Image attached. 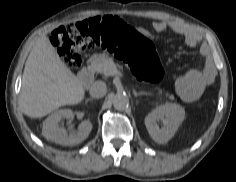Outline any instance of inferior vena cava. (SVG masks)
Segmentation results:
<instances>
[{
  "label": "inferior vena cava",
  "instance_id": "1",
  "mask_svg": "<svg viewBox=\"0 0 236 182\" xmlns=\"http://www.w3.org/2000/svg\"><path fill=\"white\" fill-rule=\"evenodd\" d=\"M107 93V86L103 81H95L90 88V95L94 98H102Z\"/></svg>",
  "mask_w": 236,
  "mask_h": 182
}]
</instances>
